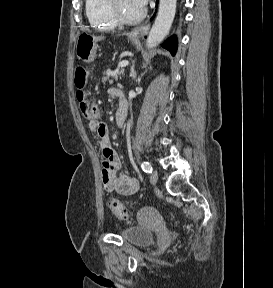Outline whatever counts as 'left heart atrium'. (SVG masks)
Returning <instances> with one entry per match:
<instances>
[{
  "label": "left heart atrium",
  "instance_id": "left-heart-atrium-1",
  "mask_svg": "<svg viewBox=\"0 0 273 288\" xmlns=\"http://www.w3.org/2000/svg\"><path fill=\"white\" fill-rule=\"evenodd\" d=\"M148 0H135L136 4L141 8L144 9Z\"/></svg>",
  "mask_w": 273,
  "mask_h": 288
}]
</instances>
